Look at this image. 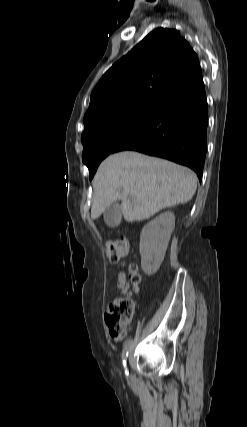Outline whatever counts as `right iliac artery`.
<instances>
[{"instance_id": "right-iliac-artery-1", "label": "right iliac artery", "mask_w": 247, "mask_h": 427, "mask_svg": "<svg viewBox=\"0 0 247 427\" xmlns=\"http://www.w3.org/2000/svg\"><path fill=\"white\" fill-rule=\"evenodd\" d=\"M131 343H132V340L126 341V343L124 345V348H123V351H122V360H123L124 367H126V360H127V357H128V350H129V347H130ZM125 373L128 374V371L125 370Z\"/></svg>"}]
</instances>
